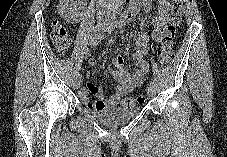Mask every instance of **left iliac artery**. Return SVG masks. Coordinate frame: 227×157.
Masks as SVG:
<instances>
[{
  "label": "left iliac artery",
  "instance_id": "obj_1",
  "mask_svg": "<svg viewBox=\"0 0 227 157\" xmlns=\"http://www.w3.org/2000/svg\"><path fill=\"white\" fill-rule=\"evenodd\" d=\"M123 25H125V22H120L119 23V26H123ZM150 84L155 86V81L151 80Z\"/></svg>",
  "mask_w": 227,
  "mask_h": 157
}]
</instances>
